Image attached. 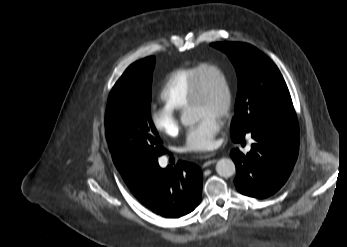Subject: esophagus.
<instances>
[{"instance_id": "obj_1", "label": "esophagus", "mask_w": 347, "mask_h": 247, "mask_svg": "<svg viewBox=\"0 0 347 247\" xmlns=\"http://www.w3.org/2000/svg\"><path fill=\"white\" fill-rule=\"evenodd\" d=\"M214 156H215V153H209V154L204 155L203 157L207 160L203 163V167H208L211 164L216 163L217 162L216 159H211Z\"/></svg>"}]
</instances>
